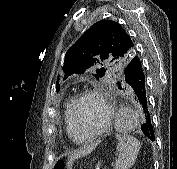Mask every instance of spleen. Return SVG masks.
I'll return each mask as SVG.
<instances>
[{
  "label": "spleen",
  "mask_w": 177,
  "mask_h": 169,
  "mask_svg": "<svg viewBox=\"0 0 177 169\" xmlns=\"http://www.w3.org/2000/svg\"><path fill=\"white\" fill-rule=\"evenodd\" d=\"M117 159L115 169H129L136 161L140 149V142L133 136L117 134Z\"/></svg>",
  "instance_id": "1"
}]
</instances>
